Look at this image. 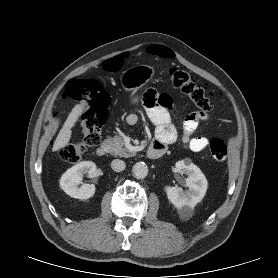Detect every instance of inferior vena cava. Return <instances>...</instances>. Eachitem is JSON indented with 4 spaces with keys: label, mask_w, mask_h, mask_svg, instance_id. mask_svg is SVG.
<instances>
[{
    "label": "inferior vena cava",
    "mask_w": 278,
    "mask_h": 278,
    "mask_svg": "<svg viewBox=\"0 0 278 278\" xmlns=\"http://www.w3.org/2000/svg\"><path fill=\"white\" fill-rule=\"evenodd\" d=\"M125 167L126 164L123 160L115 159L111 162V168L116 172L123 171Z\"/></svg>",
    "instance_id": "602c4592"
}]
</instances>
